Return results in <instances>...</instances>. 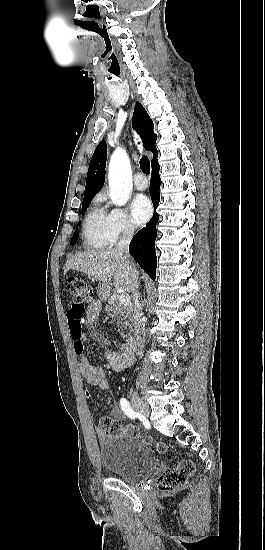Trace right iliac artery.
I'll use <instances>...</instances> for the list:
<instances>
[{
	"label": "right iliac artery",
	"mask_w": 265,
	"mask_h": 550,
	"mask_svg": "<svg viewBox=\"0 0 265 550\" xmlns=\"http://www.w3.org/2000/svg\"><path fill=\"white\" fill-rule=\"evenodd\" d=\"M120 405L124 413L131 419H135L138 417V413L135 412L132 407L130 406L129 402L125 398L120 399Z\"/></svg>",
	"instance_id": "1"
}]
</instances>
